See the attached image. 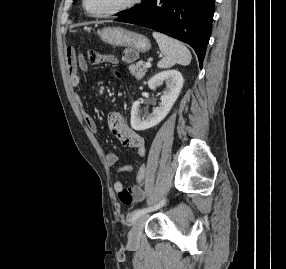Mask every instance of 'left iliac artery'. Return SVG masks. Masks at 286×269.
Listing matches in <instances>:
<instances>
[{"label": "left iliac artery", "instance_id": "left-iliac-artery-1", "mask_svg": "<svg viewBox=\"0 0 286 269\" xmlns=\"http://www.w3.org/2000/svg\"><path fill=\"white\" fill-rule=\"evenodd\" d=\"M165 204V199H163L160 203H158L157 205H155L154 207H149V208H141L138 209L134 212L133 216H132V222H134L135 220H137L140 216L144 215L147 212H150L152 210H156L161 208L163 205Z\"/></svg>", "mask_w": 286, "mask_h": 269}]
</instances>
